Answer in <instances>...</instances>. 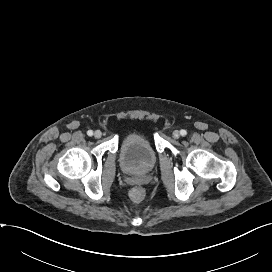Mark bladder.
Here are the masks:
<instances>
[{"label":"bladder","mask_w":272,"mask_h":272,"mask_svg":"<svg viewBox=\"0 0 272 272\" xmlns=\"http://www.w3.org/2000/svg\"><path fill=\"white\" fill-rule=\"evenodd\" d=\"M156 160V152L144 135L130 133L123 139L120 163L126 172H148L154 167Z\"/></svg>","instance_id":"1"}]
</instances>
